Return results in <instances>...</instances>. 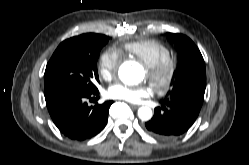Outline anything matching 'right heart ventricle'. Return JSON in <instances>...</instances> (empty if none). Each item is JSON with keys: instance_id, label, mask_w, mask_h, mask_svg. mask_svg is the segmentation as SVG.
<instances>
[{"instance_id": "obj_1", "label": "right heart ventricle", "mask_w": 249, "mask_h": 165, "mask_svg": "<svg viewBox=\"0 0 249 165\" xmlns=\"http://www.w3.org/2000/svg\"><path fill=\"white\" fill-rule=\"evenodd\" d=\"M123 47L130 55L138 58L147 66L154 65L171 55L169 47L155 39L127 42Z\"/></svg>"}]
</instances>
